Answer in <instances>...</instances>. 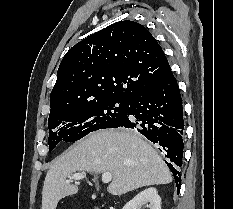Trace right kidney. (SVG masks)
I'll return each instance as SVG.
<instances>
[{"instance_id": "1", "label": "right kidney", "mask_w": 233, "mask_h": 209, "mask_svg": "<svg viewBox=\"0 0 233 209\" xmlns=\"http://www.w3.org/2000/svg\"><path fill=\"white\" fill-rule=\"evenodd\" d=\"M143 202H149L150 209H161V198L156 188H148L137 194L123 209H140Z\"/></svg>"}]
</instances>
